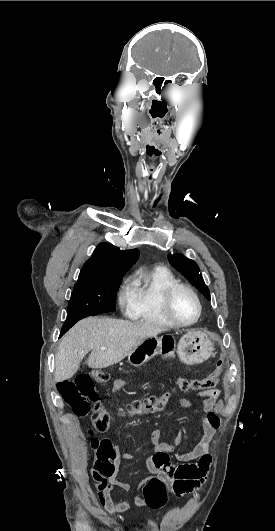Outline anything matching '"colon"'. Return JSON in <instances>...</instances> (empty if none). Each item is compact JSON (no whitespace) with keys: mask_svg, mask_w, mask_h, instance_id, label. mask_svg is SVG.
I'll return each instance as SVG.
<instances>
[{"mask_svg":"<svg viewBox=\"0 0 275 531\" xmlns=\"http://www.w3.org/2000/svg\"><path fill=\"white\" fill-rule=\"evenodd\" d=\"M224 372V360L220 359L217 362L216 369L209 375L202 378H181L177 381H170L163 384L164 390L160 393L152 395L148 398L137 400L131 403L123 414L128 416H139L144 414H153L162 410L170 401L172 392H205L215 389ZM109 379V375L105 372L81 373L74 380H66L58 384L57 389L59 394L65 399L67 405L72 409L78 417H86L87 410L90 408V403H96V408L93 413V422L97 423L99 429L105 432L109 429L115 416L107 412L104 408L98 405V395L95 383L105 382ZM90 434L91 431H90ZM93 435V434H92ZM155 481V478H152ZM142 496L146 501L144 506L148 510H160L165 507L167 499V491L164 483L145 484L141 491Z\"/></svg>","mask_w":275,"mask_h":531,"instance_id":"obj_1","label":"colon"}]
</instances>
